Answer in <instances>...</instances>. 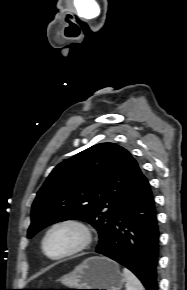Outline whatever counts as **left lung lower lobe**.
<instances>
[{"label": "left lung lower lobe", "mask_w": 187, "mask_h": 290, "mask_svg": "<svg viewBox=\"0 0 187 290\" xmlns=\"http://www.w3.org/2000/svg\"><path fill=\"white\" fill-rule=\"evenodd\" d=\"M96 252L127 267L147 290H158L159 229L147 178L121 203L106 240Z\"/></svg>", "instance_id": "left-lung-lower-lobe-1"}]
</instances>
